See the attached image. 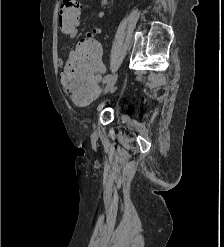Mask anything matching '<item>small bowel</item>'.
Segmentation results:
<instances>
[{"label": "small bowel", "mask_w": 224, "mask_h": 247, "mask_svg": "<svg viewBox=\"0 0 224 247\" xmlns=\"http://www.w3.org/2000/svg\"><path fill=\"white\" fill-rule=\"evenodd\" d=\"M97 16H98V18H104L105 17V12L104 11H99L98 13H97ZM77 32H78V29L77 28H74L71 32H70V34H69V36L70 37H75L76 35H77ZM102 32V29L101 28H99V27H93L92 29H91V31H88L87 33H86V35H85V38H84V40H82V41H86V40H94V41H96L95 40V35H98V34H100ZM97 42V41H96ZM58 63L60 64V65H62V63H63V61L61 60V59H59L58 60Z\"/></svg>", "instance_id": "small-bowel-1"}]
</instances>
